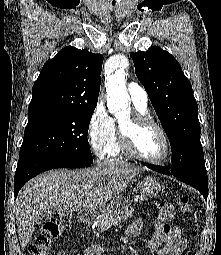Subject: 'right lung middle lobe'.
I'll return each instance as SVG.
<instances>
[{"instance_id": "dd1d6c3e", "label": "right lung middle lobe", "mask_w": 221, "mask_h": 255, "mask_svg": "<svg viewBox=\"0 0 221 255\" xmlns=\"http://www.w3.org/2000/svg\"><path fill=\"white\" fill-rule=\"evenodd\" d=\"M94 109L29 112L19 157L40 154L93 163L87 135Z\"/></svg>"}]
</instances>
